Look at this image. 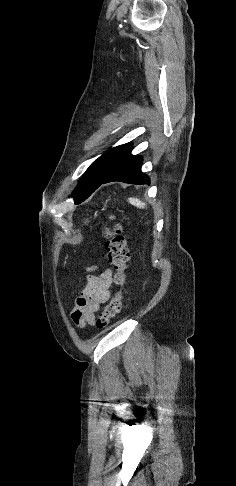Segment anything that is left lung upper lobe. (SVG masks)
I'll return each instance as SVG.
<instances>
[{
	"mask_svg": "<svg viewBox=\"0 0 236 486\" xmlns=\"http://www.w3.org/2000/svg\"><path fill=\"white\" fill-rule=\"evenodd\" d=\"M131 147L132 143L117 146L100 156L90 165L73 192L76 204L84 201L99 187L100 183Z\"/></svg>",
	"mask_w": 236,
	"mask_h": 486,
	"instance_id": "obj_1",
	"label": "left lung upper lobe"
}]
</instances>
